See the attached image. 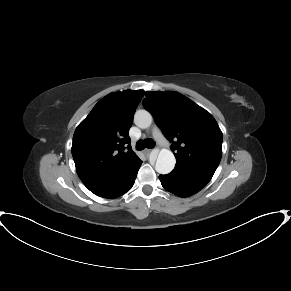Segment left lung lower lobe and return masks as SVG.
Returning a JSON list of instances; mask_svg holds the SVG:
<instances>
[{
  "label": "left lung lower lobe",
  "mask_w": 291,
  "mask_h": 291,
  "mask_svg": "<svg viewBox=\"0 0 291 291\" xmlns=\"http://www.w3.org/2000/svg\"><path fill=\"white\" fill-rule=\"evenodd\" d=\"M211 178L212 176L208 174L187 171L176 167L168 175L159 176L162 186L180 197H188L197 193L207 185Z\"/></svg>",
  "instance_id": "1"
}]
</instances>
